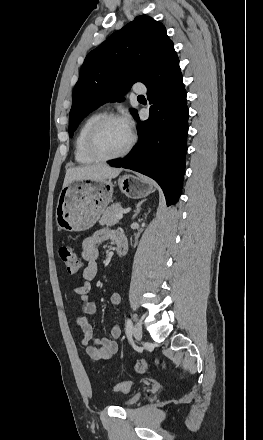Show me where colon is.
<instances>
[{
  "label": "colon",
  "mask_w": 263,
  "mask_h": 440,
  "mask_svg": "<svg viewBox=\"0 0 263 440\" xmlns=\"http://www.w3.org/2000/svg\"><path fill=\"white\" fill-rule=\"evenodd\" d=\"M58 253L68 272L75 274L81 270V262L76 255L75 249L72 246L62 245L59 247ZM155 363L157 365H162V361L160 359H157ZM146 367L147 363L145 361H139L137 363V369L140 371L145 370ZM130 388V382H122L113 385V390L116 392H128Z\"/></svg>",
  "instance_id": "obj_1"
}]
</instances>
